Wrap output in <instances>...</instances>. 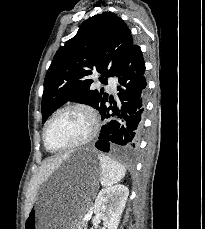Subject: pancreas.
Masks as SVG:
<instances>
[{
  "label": "pancreas",
  "mask_w": 205,
  "mask_h": 229,
  "mask_svg": "<svg viewBox=\"0 0 205 229\" xmlns=\"http://www.w3.org/2000/svg\"><path fill=\"white\" fill-rule=\"evenodd\" d=\"M78 229H86V222L85 221H80L78 225Z\"/></svg>",
  "instance_id": "1"
}]
</instances>
